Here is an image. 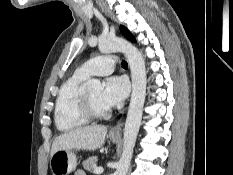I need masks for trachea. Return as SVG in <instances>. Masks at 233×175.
Returning <instances> with one entry per match:
<instances>
[{
    "instance_id": "3493384b",
    "label": "trachea",
    "mask_w": 233,
    "mask_h": 175,
    "mask_svg": "<svg viewBox=\"0 0 233 175\" xmlns=\"http://www.w3.org/2000/svg\"><path fill=\"white\" fill-rule=\"evenodd\" d=\"M123 68H128V63L126 61H122Z\"/></svg>"
}]
</instances>
